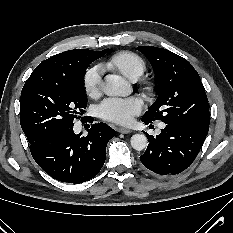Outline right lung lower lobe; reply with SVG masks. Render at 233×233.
I'll list each match as a JSON object with an SVG mask.
<instances>
[{"label":"right lung lower lobe","instance_id":"1","mask_svg":"<svg viewBox=\"0 0 233 233\" xmlns=\"http://www.w3.org/2000/svg\"><path fill=\"white\" fill-rule=\"evenodd\" d=\"M115 131L105 123L93 124L87 136L73 126L51 131L30 144L36 163L52 178L79 184L95 177L106 159V146Z\"/></svg>","mask_w":233,"mask_h":233}]
</instances>
